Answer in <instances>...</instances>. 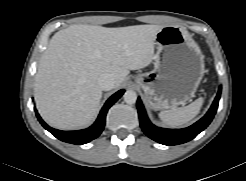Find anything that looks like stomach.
<instances>
[{
  "instance_id": "stomach-1",
  "label": "stomach",
  "mask_w": 246,
  "mask_h": 181,
  "mask_svg": "<svg viewBox=\"0 0 246 181\" xmlns=\"http://www.w3.org/2000/svg\"><path fill=\"white\" fill-rule=\"evenodd\" d=\"M154 69L135 78L154 110L184 105L205 73L204 55L184 27L165 26L155 37Z\"/></svg>"
}]
</instances>
